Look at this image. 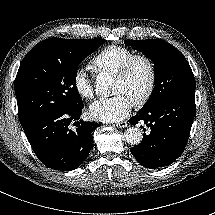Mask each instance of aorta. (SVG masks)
<instances>
[{"instance_id": "aorta-1", "label": "aorta", "mask_w": 215, "mask_h": 215, "mask_svg": "<svg viewBox=\"0 0 215 215\" xmlns=\"http://www.w3.org/2000/svg\"><path fill=\"white\" fill-rule=\"evenodd\" d=\"M106 88H107V86L105 84V80H104L103 76L99 75L97 77L96 90L98 92H100L102 95H105V93L107 92V91H105ZM124 136H125L126 142L131 144V145L140 144L142 141V138H143L141 130L139 128H136V127L127 128Z\"/></svg>"}]
</instances>
